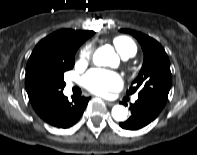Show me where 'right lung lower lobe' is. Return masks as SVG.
Here are the masks:
<instances>
[{
  "label": "right lung lower lobe",
  "instance_id": "1",
  "mask_svg": "<svg viewBox=\"0 0 197 155\" xmlns=\"http://www.w3.org/2000/svg\"><path fill=\"white\" fill-rule=\"evenodd\" d=\"M88 101L86 97H72V101H69L62 94L40 117L54 127L69 128L79 120Z\"/></svg>",
  "mask_w": 197,
  "mask_h": 155
}]
</instances>
